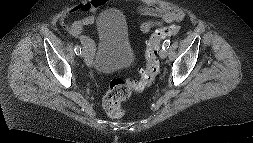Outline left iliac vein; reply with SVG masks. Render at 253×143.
Masks as SVG:
<instances>
[{"label":"left iliac vein","instance_id":"1","mask_svg":"<svg viewBox=\"0 0 253 143\" xmlns=\"http://www.w3.org/2000/svg\"><path fill=\"white\" fill-rule=\"evenodd\" d=\"M159 55L161 59H165L167 57V50L162 49Z\"/></svg>","mask_w":253,"mask_h":143}]
</instances>
